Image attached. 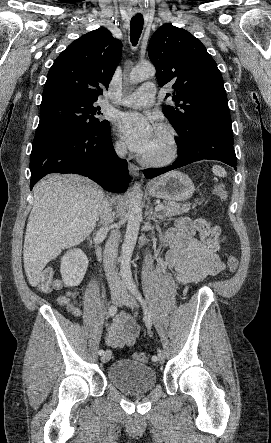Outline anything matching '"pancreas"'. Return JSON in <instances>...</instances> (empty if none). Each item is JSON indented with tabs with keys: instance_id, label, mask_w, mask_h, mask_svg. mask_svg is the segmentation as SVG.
<instances>
[{
	"instance_id": "cf45deb5",
	"label": "pancreas",
	"mask_w": 271,
	"mask_h": 443,
	"mask_svg": "<svg viewBox=\"0 0 271 443\" xmlns=\"http://www.w3.org/2000/svg\"><path fill=\"white\" fill-rule=\"evenodd\" d=\"M196 204H201V202H197ZM189 206L191 204H177V202H165L164 210H162L161 214L163 218H172V216H179V214H186L188 210H190Z\"/></svg>"
}]
</instances>
